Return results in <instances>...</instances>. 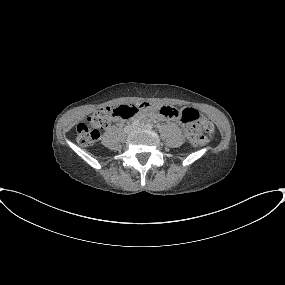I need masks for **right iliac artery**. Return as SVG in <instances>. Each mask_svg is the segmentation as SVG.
<instances>
[{"label": "right iliac artery", "instance_id": "right-iliac-artery-1", "mask_svg": "<svg viewBox=\"0 0 285 285\" xmlns=\"http://www.w3.org/2000/svg\"><path fill=\"white\" fill-rule=\"evenodd\" d=\"M138 124H139L138 121H134V122H133V125H138Z\"/></svg>", "mask_w": 285, "mask_h": 285}]
</instances>
